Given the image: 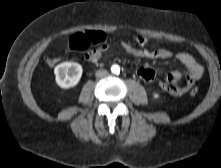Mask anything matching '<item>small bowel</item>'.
Listing matches in <instances>:
<instances>
[{"label":"small bowel","mask_w":221,"mask_h":168,"mask_svg":"<svg viewBox=\"0 0 221 168\" xmlns=\"http://www.w3.org/2000/svg\"><path fill=\"white\" fill-rule=\"evenodd\" d=\"M121 48L129 55L137 58L147 59H170L175 57L185 68L186 82L183 86L178 85V82L183 78V73L180 71H174L170 73L159 85L161 89L173 96H181L186 93L194 83L200 79L204 73V68L199 64L196 59L189 53L178 52L173 54L166 49H147L136 48L128 42H121ZM110 48L109 45L103 44L98 48L90 50L85 58L91 63H97L100 61L101 56ZM137 75L146 82H151L155 79L156 73L149 67H141L137 71Z\"/></svg>","instance_id":"small-bowel-1"}]
</instances>
